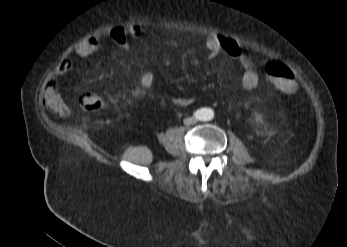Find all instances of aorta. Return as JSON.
Wrapping results in <instances>:
<instances>
[{
	"instance_id": "obj_1",
	"label": "aorta",
	"mask_w": 347,
	"mask_h": 247,
	"mask_svg": "<svg viewBox=\"0 0 347 247\" xmlns=\"http://www.w3.org/2000/svg\"><path fill=\"white\" fill-rule=\"evenodd\" d=\"M199 115L204 121H209L213 118V112L210 109H202Z\"/></svg>"
}]
</instances>
